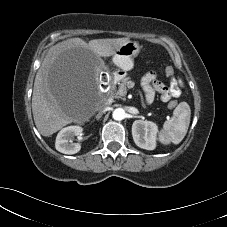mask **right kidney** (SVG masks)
I'll use <instances>...</instances> for the list:
<instances>
[{
    "instance_id": "right-kidney-1",
    "label": "right kidney",
    "mask_w": 227,
    "mask_h": 227,
    "mask_svg": "<svg viewBox=\"0 0 227 227\" xmlns=\"http://www.w3.org/2000/svg\"><path fill=\"white\" fill-rule=\"evenodd\" d=\"M82 131V127L76 125L63 128L56 137V150L64 154H75L79 152L81 145L79 143H73V139L75 136H81Z\"/></svg>"
}]
</instances>
